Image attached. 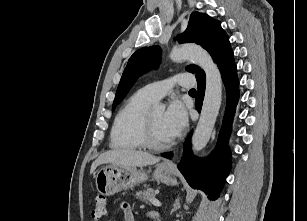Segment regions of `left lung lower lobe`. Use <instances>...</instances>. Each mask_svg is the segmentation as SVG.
Listing matches in <instances>:
<instances>
[{
  "mask_svg": "<svg viewBox=\"0 0 307 221\" xmlns=\"http://www.w3.org/2000/svg\"><path fill=\"white\" fill-rule=\"evenodd\" d=\"M218 66L226 87L227 104L217 147L208 158L199 160L191 153L189 136L185 142L184 155L177 166L192 188L204 191L212 200L219 196L231 167V154L227 147V140L239 98V80L233 52ZM197 84L195 108L200 112L205 93V77L197 79ZM162 156L170 158L172 153H164Z\"/></svg>",
  "mask_w": 307,
  "mask_h": 221,
  "instance_id": "left-lung-lower-lobe-1",
  "label": "left lung lower lobe"
}]
</instances>
